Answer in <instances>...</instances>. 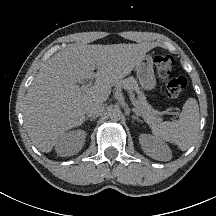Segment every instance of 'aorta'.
<instances>
[{
    "label": "aorta",
    "mask_w": 216,
    "mask_h": 216,
    "mask_svg": "<svg viewBox=\"0 0 216 216\" xmlns=\"http://www.w3.org/2000/svg\"><path fill=\"white\" fill-rule=\"evenodd\" d=\"M110 118L113 120V121H118L121 119L122 117V112L119 108H113L110 113Z\"/></svg>",
    "instance_id": "1"
}]
</instances>
